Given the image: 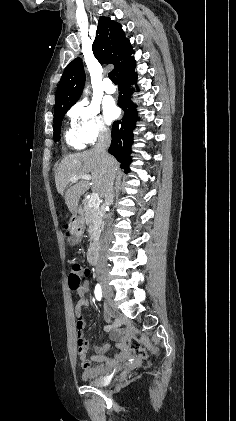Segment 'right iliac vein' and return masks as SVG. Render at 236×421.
Instances as JSON below:
<instances>
[{"instance_id": "1", "label": "right iliac vein", "mask_w": 236, "mask_h": 421, "mask_svg": "<svg viewBox=\"0 0 236 421\" xmlns=\"http://www.w3.org/2000/svg\"><path fill=\"white\" fill-rule=\"evenodd\" d=\"M101 285L106 286L107 280L106 279H100ZM103 294L107 299H112L114 297V292L112 289L104 287Z\"/></svg>"}]
</instances>
